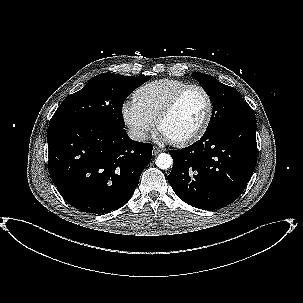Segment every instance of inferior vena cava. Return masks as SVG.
Here are the masks:
<instances>
[{"label":"inferior vena cava","instance_id":"inferior-vena-cava-1","mask_svg":"<svg viewBox=\"0 0 303 303\" xmlns=\"http://www.w3.org/2000/svg\"><path fill=\"white\" fill-rule=\"evenodd\" d=\"M128 136L132 140L139 142H143L148 139V135L146 134V132L137 128H131L130 130H128Z\"/></svg>","mask_w":303,"mask_h":303}]
</instances>
